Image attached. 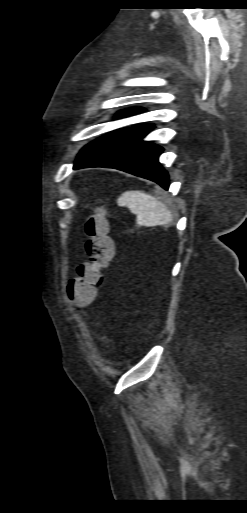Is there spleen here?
Here are the masks:
<instances>
[{
	"mask_svg": "<svg viewBox=\"0 0 247 513\" xmlns=\"http://www.w3.org/2000/svg\"><path fill=\"white\" fill-rule=\"evenodd\" d=\"M119 206L129 208L136 214L137 223L143 226L168 224L171 214L165 204L154 196L139 190L126 191L117 201Z\"/></svg>",
	"mask_w": 247,
	"mask_h": 513,
	"instance_id": "obj_1",
	"label": "spleen"
}]
</instances>
